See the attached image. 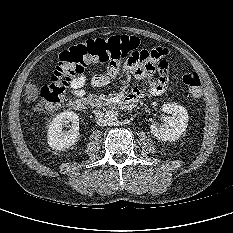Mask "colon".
<instances>
[{
    "label": "colon",
    "mask_w": 233,
    "mask_h": 233,
    "mask_svg": "<svg viewBox=\"0 0 233 233\" xmlns=\"http://www.w3.org/2000/svg\"><path fill=\"white\" fill-rule=\"evenodd\" d=\"M140 48H142L141 41L135 36L128 35L92 38L72 45L60 54L50 84L40 89L37 109L59 106L72 80L83 74L89 64L119 61L122 56ZM182 81L194 98L202 97V81L197 72L188 70L183 74Z\"/></svg>",
    "instance_id": "1"
}]
</instances>
